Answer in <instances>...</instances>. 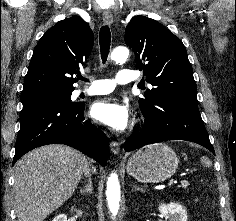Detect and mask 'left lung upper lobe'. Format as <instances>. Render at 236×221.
I'll list each match as a JSON object with an SVG mask.
<instances>
[{"label": "left lung upper lobe", "instance_id": "obj_1", "mask_svg": "<svg viewBox=\"0 0 236 221\" xmlns=\"http://www.w3.org/2000/svg\"><path fill=\"white\" fill-rule=\"evenodd\" d=\"M125 42L135 52L136 65L154 88L139 99L142 110L167 97L196 99V82L182 41L156 20L144 16L131 19Z\"/></svg>", "mask_w": 236, "mask_h": 221}]
</instances>
